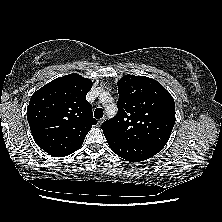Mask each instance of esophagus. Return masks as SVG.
<instances>
[{
  "label": "esophagus",
  "mask_w": 222,
  "mask_h": 222,
  "mask_svg": "<svg viewBox=\"0 0 222 222\" xmlns=\"http://www.w3.org/2000/svg\"><path fill=\"white\" fill-rule=\"evenodd\" d=\"M104 122V118L98 120V125H101Z\"/></svg>",
  "instance_id": "1"
}]
</instances>
